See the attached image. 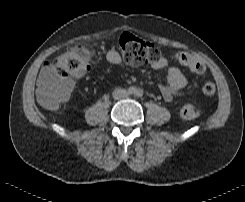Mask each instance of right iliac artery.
<instances>
[{"instance_id":"right-iliac-artery-1","label":"right iliac artery","mask_w":245,"mask_h":202,"mask_svg":"<svg viewBox=\"0 0 245 202\" xmlns=\"http://www.w3.org/2000/svg\"><path fill=\"white\" fill-rule=\"evenodd\" d=\"M136 92V88H134V87H130L129 89H128V93L129 94H134Z\"/></svg>"}]
</instances>
